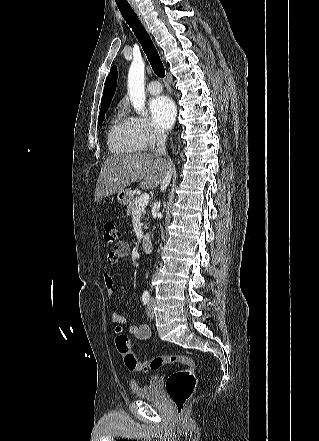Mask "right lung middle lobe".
<instances>
[{
    "label": "right lung middle lobe",
    "mask_w": 319,
    "mask_h": 441,
    "mask_svg": "<svg viewBox=\"0 0 319 441\" xmlns=\"http://www.w3.org/2000/svg\"><path fill=\"white\" fill-rule=\"evenodd\" d=\"M107 110H108V107H104V108H102V109L100 110L99 119H98V124H99V125L102 124V122H103V120H104V117H105V113L107 112Z\"/></svg>",
    "instance_id": "1"
}]
</instances>
